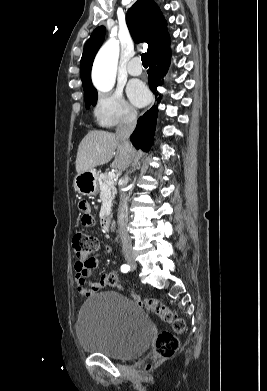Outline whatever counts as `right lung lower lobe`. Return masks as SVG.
<instances>
[{"mask_svg":"<svg viewBox=\"0 0 267 391\" xmlns=\"http://www.w3.org/2000/svg\"><path fill=\"white\" fill-rule=\"evenodd\" d=\"M170 57L171 51L169 46H167L149 58L148 82L157 103L160 102V97L156 88L160 85L161 77L168 71ZM157 113V106H153L138 119L136 129L130 137L131 142L137 149L147 150L150 148V144L153 141Z\"/></svg>","mask_w":267,"mask_h":391,"instance_id":"1","label":"right lung lower lobe"}]
</instances>
